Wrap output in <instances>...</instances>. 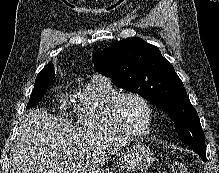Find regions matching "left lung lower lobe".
I'll list each match as a JSON object with an SVG mask.
<instances>
[{"instance_id":"0a47b994","label":"left lung lower lobe","mask_w":219,"mask_h":173,"mask_svg":"<svg viewBox=\"0 0 219 173\" xmlns=\"http://www.w3.org/2000/svg\"><path fill=\"white\" fill-rule=\"evenodd\" d=\"M195 152L199 154V156L204 162H206V152L203 151H195Z\"/></svg>"}]
</instances>
